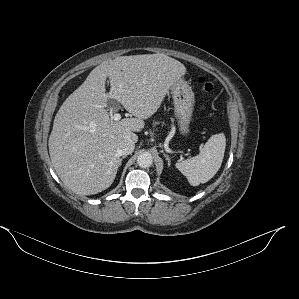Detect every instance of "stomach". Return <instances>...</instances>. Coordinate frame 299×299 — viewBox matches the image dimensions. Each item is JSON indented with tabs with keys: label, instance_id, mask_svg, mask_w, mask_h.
Wrapping results in <instances>:
<instances>
[{
	"label": "stomach",
	"instance_id": "obj_1",
	"mask_svg": "<svg viewBox=\"0 0 299 299\" xmlns=\"http://www.w3.org/2000/svg\"><path fill=\"white\" fill-rule=\"evenodd\" d=\"M175 117L182 135L189 133V124L194 110V93L191 86L180 78L171 88Z\"/></svg>",
	"mask_w": 299,
	"mask_h": 299
}]
</instances>
